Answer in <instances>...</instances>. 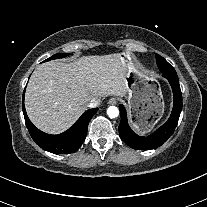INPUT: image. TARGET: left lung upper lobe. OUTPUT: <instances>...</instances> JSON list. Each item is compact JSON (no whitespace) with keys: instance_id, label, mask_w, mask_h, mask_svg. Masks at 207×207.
Listing matches in <instances>:
<instances>
[{"instance_id":"left-lung-upper-lobe-1","label":"left lung upper lobe","mask_w":207,"mask_h":207,"mask_svg":"<svg viewBox=\"0 0 207 207\" xmlns=\"http://www.w3.org/2000/svg\"><path fill=\"white\" fill-rule=\"evenodd\" d=\"M156 61L161 72L174 69L163 57L156 54Z\"/></svg>"}]
</instances>
